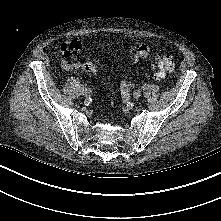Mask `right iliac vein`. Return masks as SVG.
Instances as JSON below:
<instances>
[{"instance_id":"63e3f726","label":"right iliac vein","mask_w":221,"mask_h":221,"mask_svg":"<svg viewBox=\"0 0 221 221\" xmlns=\"http://www.w3.org/2000/svg\"><path fill=\"white\" fill-rule=\"evenodd\" d=\"M81 94H82L84 97H87V89H86V88H82Z\"/></svg>"}]
</instances>
